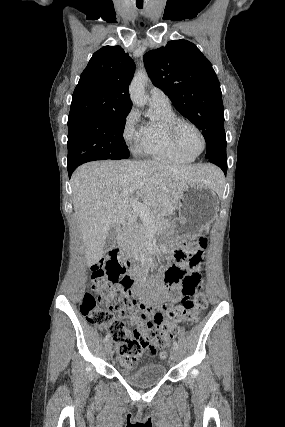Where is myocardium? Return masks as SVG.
I'll return each mask as SVG.
<instances>
[{
	"label": "myocardium",
	"mask_w": 285,
	"mask_h": 427,
	"mask_svg": "<svg viewBox=\"0 0 285 427\" xmlns=\"http://www.w3.org/2000/svg\"><path fill=\"white\" fill-rule=\"evenodd\" d=\"M183 125H187V126L192 127L197 132V134L199 135L201 142H202V148L198 153H195V154L189 153L188 151H186L183 148V146L179 142L178 130ZM165 130H166L173 146L182 154H185L187 156L195 158V157L199 156L200 154H202L206 148V139H205L203 132L195 123H193L189 120H185V119L176 117V118H174V119H172L166 123Z\"/></svg>",
	"instance_id": "myocardium-1"
}]
</instances>
